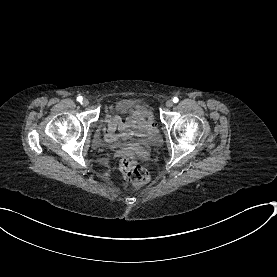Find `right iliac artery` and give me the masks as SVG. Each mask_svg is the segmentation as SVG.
<instances>
[{
	"instance_id": "1",
	"label": "right iliac artery",
	"mask_w": 277,
	"mask_h": 277,
	"mask_svg": "<svg viewBox=\"0 0 277 277\" xmlns=\"http://www.w3.org/2000/svg\"><path fill=\"white\" fill-rule=\"evenodd\" d=\"M83 100L82 96L77 97V101L81 102Z\"/></svg>"
}]
</instances>
